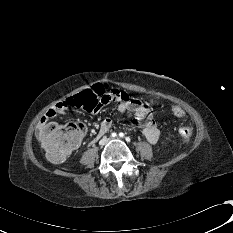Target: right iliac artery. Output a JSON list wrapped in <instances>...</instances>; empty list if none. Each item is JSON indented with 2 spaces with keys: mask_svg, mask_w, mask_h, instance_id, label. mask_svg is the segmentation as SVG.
Here are the masks:
<instances>
[{
  "mask_svg": "<svg viewBox=\"0 0 233 233\" xmlns=\"http://www.w3.org/2000/svg\"><path fill=\"white\" fill-rule=\"evenodd\" d=\"M117 136V134L115 133V132H113L112 134H111V137H116Z\"/></svg>",
  "mask_w": 233,
  "mask_h": 233,
  "instance_id": "right-iliac-artery-1",
  "label": "right iliac artery"
}]
</instances>
